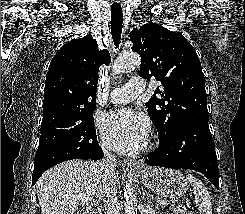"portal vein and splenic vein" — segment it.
I'll return each mask as SVG.
<instances>
[{
	"instance_id": "obj_1",
	"label": "portal vein and splenic vein",
	"mask_w": 245,
	"mask_h": 214,
	"mask_svg": "<svg viewBox=\"0 0 245 214\" xmlns=\"http://www.w3.org/2000/svg\"><path fill=\"white\" fill-rule=\"evenodd\" d=\"M76 200H81V201H85V202H89V201H95V199L93 197H91L90 195H86V194H79L73 197ZM157 203L159 204H163V205H169L170 202L169 201H164V200H156Z\"/></svg>"
}]
</instances>
